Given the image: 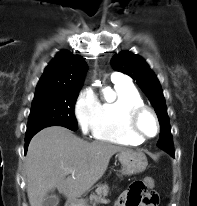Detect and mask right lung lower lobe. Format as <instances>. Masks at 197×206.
Masks as SVG:
<instances>
[{"instance_id":"obj_1","label":"right lung lower lobe","mask_w":197,"mask_h":206,"mask_svg":"<svg viewBox=\"0 0 197 206\" xmlns=\"http://www.w3.org/2000/svg\"><path fill=\"white\" fill-rule=\"evenodd\" d=\"M33 136L34 135L25 138V153L27 152L29 142H30V140L32 139Z\"/></svg>"}]
</instances>
